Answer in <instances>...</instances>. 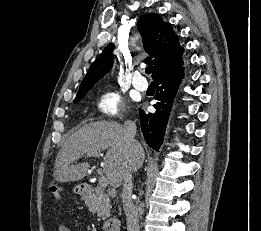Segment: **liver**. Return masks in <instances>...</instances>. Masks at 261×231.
I'll use <instances>...</instances> for the list:
<instances>
[{
	"label": "liver",
	"instance_id": "6515ba94",
	"mask_svg": "<svg viewBox=\"0 0 261 231\" xmlns=\"http://www.w3.org/2000/svg\"><path fill=\"white\" fill-rule=\"evenodd\" d=\"M107 150L103 159V170L112 187H119L126 170L137 171L144 162V151L136 161L131 158L124 140V128L107 121L91 122L74 132L62 145L54 164L53 177L59 182H74L83 179L89 163L77 160L84 154ZM76 163V164H75Z\"/></svg>",
	"mask_w": 261,
	"mask_h": 231
}]
</instances>
